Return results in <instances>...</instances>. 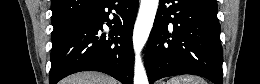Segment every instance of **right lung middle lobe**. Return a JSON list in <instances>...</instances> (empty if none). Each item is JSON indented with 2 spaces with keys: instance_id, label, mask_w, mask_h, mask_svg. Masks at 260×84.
Segmentation results:
<instances>
[{
  "instance_id": "dd1d6c3e",
  "label": "right lung middle lobe",
  "mask_w": 260,
  "mask_h": 84,
  "mask_svg": "<svg viewBox=\"0 0 260 84\" xmlns=\"http://www.w3.org/2000/svg\"><path fill=\"white\" fill-rule=\"evenodd\" d=\"M64 28H65V26L54 28L53 33H52V38H54L57 34H59Z\"/></svg>"
}]
</instances>
